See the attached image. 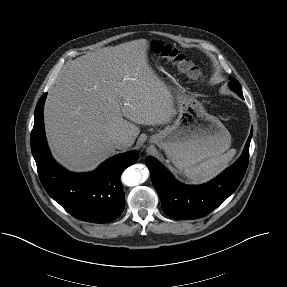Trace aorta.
Returning <instances> with one entry per match:
<instances>
[{
  "label": "aorta",
  "instance_id": "1",
  "mask_svg": "<svg viewBox=\"0 0 287 287\" xmlns=\"http://www.w3.org/2000/svg\"><path fill=\"white\" fill-rule=\"evenodd\" d=\"M142 178V172L136 166L128 167L122 174L121 180L126 186H137Z\"/></svg>",
  "mask_w": 287,
  "mask_h": 287
}]
</instances>
